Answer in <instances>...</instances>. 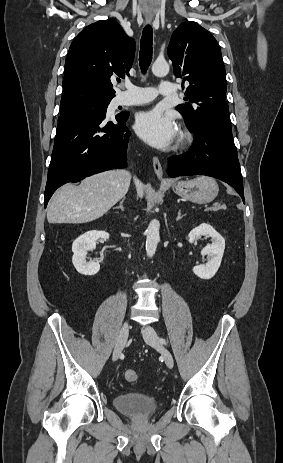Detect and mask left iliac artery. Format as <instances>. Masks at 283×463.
Returning <instances> with one entry per match:
<instances>
[{"mask_svg":"<svg viewBox=\"0 0 283 463\" xmlns=\"http://www.w3.org/2000/svg\"><path fill=\"white\" fill-rule=\"evenodd\" d=\"M161 342L164 343V344H166V341H165L164 339H161Z\"/></svg>","mask_w":283,"mask_h":463,"instance_id":"1","label":"left iliac artery"}]
</instances>
